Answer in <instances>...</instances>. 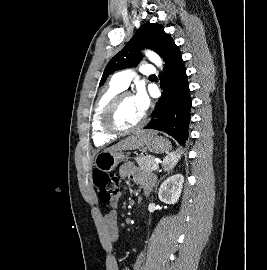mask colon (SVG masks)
<instances>
[{"label": "colon", "instance_id": "1", "mask_svg": "<svg viewBox=\"0 0 267 270\" xmlns=\"http://www.w3.org/2000/svg\"><path fill=\"white\" fill-rule=\"evenodd\" d=\"M93 183L99 200L108 203L115 198L120 191V180L118 177L109 175L103 171H95Z\"/></svg>", "mask_w": 267, "mask_h": 270}]
</instances>
